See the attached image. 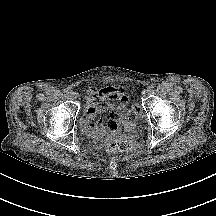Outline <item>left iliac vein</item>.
Returning <instances> with one entry per match:
<instances>
[{
  "instance_id": "4c4485c4",
  "label": "left iliac vein",
  "mask_w": 216,
  "mask_h": 216,
  "mask_svg": "<svg viewBox=\"0 0 216 216\" xmlns=\"http://www.w3.org/2000/svg\"><path fill=\"white\" fill-rule=\"evenodd\" d=\"M142 95H143V96L149 95V90H148V89L143 90V91H142Z\"/></svg>"
}]
</instances>
